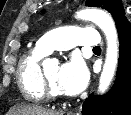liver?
Segmentation results:
<instances>
[{
    "label": "liver",
    "instance_id": "6515ba94",
    "mask_svg": "<svg viewBox=\"0 0 131 115\" xmlns=\"http://www.w3.org/2000/svg\"><path fill=\"white\" fill-rule=\"evenodd\" d=\"M9 114L13 115H59L58 112L45 110L37 106L21 105L13 108Z\"/></svg>",
    "mask_w": 131,
    "mask_h": 115
}]
</instances>
